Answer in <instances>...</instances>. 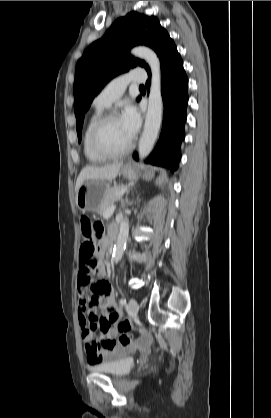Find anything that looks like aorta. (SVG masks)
Instances as JSON below:
<instances>
[{
    "instance_id": "aorta-1",
    "label": "aorta",
    "mask_w": 271,
    "mask_h": 418,
    "mask_svg": "<svg viewBox=\"0 0 271 418\" xmlns=\"http://www.w3.org/2000/svg\"><path fill=\"white\" fill-rule=\"evenodd\" d=\"M131 53L135 57L144 59L148 63L152 72L150 93L148 97V109L143 133L138 146L139 158L144 159L150 154L154 146L162 122L163 102L161 95L160 60L153 50L144 46L133 48ZM128 233L129 221L126 217L120 223L119 234L113 249L112 259L115 263L119 262L123 256Z\"/></svg>"
}]
</instances>
